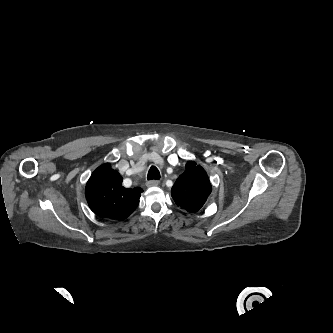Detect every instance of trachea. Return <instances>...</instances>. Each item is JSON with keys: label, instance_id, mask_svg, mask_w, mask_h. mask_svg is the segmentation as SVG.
<instances>
[{"label": "trachea", "instance_id": "obj_1", "mask_svg": "<svg viewBox=\"0 0 333 333\" xmlns=\"http://www.w3.org/2000/svg\"><path fill=\"white\" fill-rule=\"evenodd\" d=\"M148 180H158L160 179V172L155 166H151L148 171Z\"/></svg>", "mask_w": 333, "mask_h": 333}]
</instances>
